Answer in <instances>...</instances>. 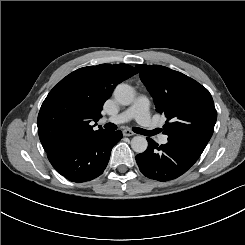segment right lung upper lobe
<instances>
[{"instance_id":"obj_1","label":"right lung upper lobe","mask_w":245,"mask_h":245,"mask_svg":"<svg viewBox=\"0 0 245 245\" xmlns=\"http://www.w3.org/2000/svg\"><path fill=\"white\" fill-rule=\"evenodd\" d=\"M127 64H101L75 70L63 78L44 100L37 120L46 152L56 145L103 129L93 130L104 102L122 81L135 75Z\"/></svg>"}]
</instances>
